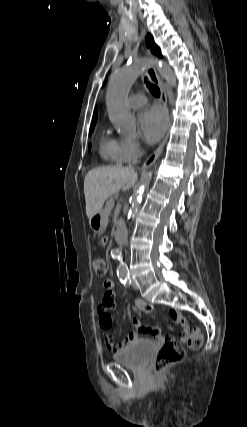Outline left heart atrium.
Returning <instances> with one entry per match:
<instances>
[{
    "instance_id": "left-heart-atrium-1",
    "label": "left heart atrium",
    "mask_w": 247,
    "mask_h": 427,
    "mask_svg": "<svg viewBox=\"0 0 247 427\" xmlns=\"http://www.w3.org/2000/svg\"><path fill=\"white\" fill-rule=\"evenodd\" d=\"M139 127L142 137L148 143H155L167 127L166 115L159 107H149L141 113Z\"/></svg>"
}]
</instances>
